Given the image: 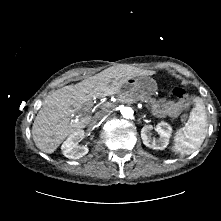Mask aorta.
Wrapping results in <instances>:
<instances>
[{
	"label": "aorta",
	"mask_w": 221,
	"mask_h": 221,
	"mask_svg": "<svg viewBox=\"0 0 221 221\" xmlns=\"http://www.w3.org/2000/svg\"><path fill=\"white\" fill-rule=\"evenodd\" d=\"M121 114L124 118L131 119V118H133L134 111L131 107H124L121 110Z\"/></svg>",
	"instance_id": "762f6f07"
}]
</instances>
